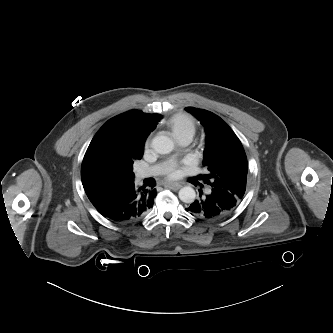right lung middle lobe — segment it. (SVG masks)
<instances>
[{
  "mask_svg": "<svg viewBox=\"0 0 333 333\" xmlns=\"http://www.w3.org/2000/svg\"><path fill=\"white\" fill-rule=\"evenodd\" d=\"M142 155L121 144L103 149L95 157L83 160L81 167L83 186L118 185L134 181L133 163L134 160L141 159Z\"/></svg>",
  "mask_w": 333,
  "mask_h": 333,
  "instance_id": "dd1d6c3e",
  "label": "right lung middle lobe"
}]
</instances>
